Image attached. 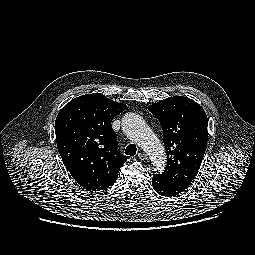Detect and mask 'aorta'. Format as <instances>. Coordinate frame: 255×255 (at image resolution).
Here are the masks:
<instances>
[{"instance_id": "obj_1", "label": "aorta", "mask_w": 255, "mask_h": 255, "mask_svg": "<svg viewBox=\"0 0 255 255\" xmlns=\"http://www.w3.org/2000/svg\"><path fill=\"white\" fill-rule=\"evenodd\" d=\"M122 129L131 141L148 154L155 171L164 170L167 161L164 147L140 115L126 113L122 118Z\"/></svg>"}]
</instances>
